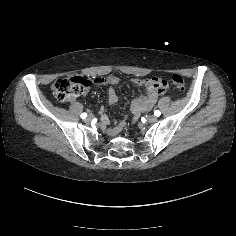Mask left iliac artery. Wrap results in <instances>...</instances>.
<instances>
[{
    "instance_id": "left-iliac-artery-1",
    "label": "left iliac artery",
    "mask_w": 236,
    "mask_h": 236,
    "mask_svg": "<svg viewBox=\"0 0 236 236\" xmlns=\"http://www.w3.org/2000/svg\"><path fill=\"white\" fill-rule=\"evenodd\" d=\"M154 115L158 117V116L161 115V112H160L159 110H155V111H154Z\"/></svg>"
}]
</instances>
